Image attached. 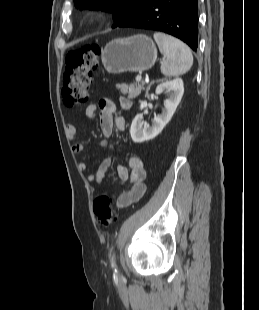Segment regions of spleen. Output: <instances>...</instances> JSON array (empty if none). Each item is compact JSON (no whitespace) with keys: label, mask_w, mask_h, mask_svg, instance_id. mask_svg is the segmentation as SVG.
<instances>
[{"label":"spleen","mask_w":259,"mask_h":310,"mask_svg":"<svg viewBox=\"0 0 259 310\" xmlns=\"http://www.w3.org/2000/svg\"><path fill=\"white\" fill-rule=\"evenodd\" d=\"M160 52L166 56L161 72L168 77L185 74L193 65V56L187 45L170 35L156 32L153 35Z\"/></svg>","instance_id":"spleen-1"}]
</instances>
